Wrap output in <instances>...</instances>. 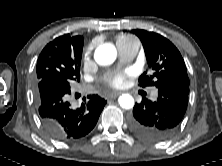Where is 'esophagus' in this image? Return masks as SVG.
Instances as JSON below:
<instances>
[{
    "label": "esophagus",
    "instance_id": "obj_1",
    "mask_svg": "<svg viewBox=\"0 0 222 166\" xmlns=\"http://www.w3.org/2000/svg\"><path fill=\"white\" fill-rule=\"evenodd\" d=\"M121 93H122L121 91H114V92L109 93L107 96L109 98H115V97L119 96Z\"/></svg>",
    "mask_w": 222,
    "mask_h": 166
}]
</instances>
